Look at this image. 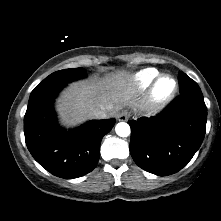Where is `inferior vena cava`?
<instances>
[{"instance_id":"inferior-vena-cava-1","label":"inferior vena cava","mask_w":221,"mask_h":221,"mask_svg":"<svg viewBox=\"0 0 221 221\" xmlns=\"http://www.w3.org/2000/svg\"><path fill=\"white\" fill-rule=\"evenodd\" d=\"M91 115H92L93 118H96V119H105V118H107V113L104 110H94L91 113Z\"/></svg>"}]
</instances>
